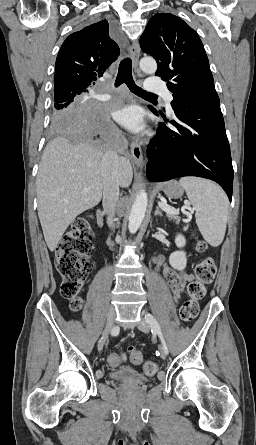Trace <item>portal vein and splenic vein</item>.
I'll use <instances>...</instances> for the list:
<instances>
[{"mask_svg": "<svg viewBox=\"0 0 256 445\" xmlns=\"http://www.w3.org/2000/svg\"><path fill=\"white\" fill-rule=\"evenodd\" d=\"M84 192H87L88 189L84 188L83 190ZM159 206L166 212L169 214H173V215H178L179 214V210L171 207L170 205H168L166 202H160ZM184 207L188 208L190 211H194V208L190 207V203L189 202H184Z\"/></svg>", "mask_w": 256, "mask_h": 445, "instance_id": "1", "label": "portal vein and splenic vein"}]
</instances>
